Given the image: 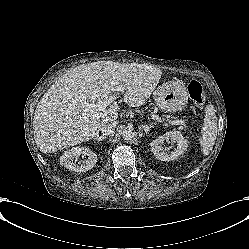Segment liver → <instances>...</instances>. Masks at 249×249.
Returning a JSON list of instances; mask_svg holds the SVG:
<instances>
[{
    "label": "liver",
    "mask_w": 249,
    "mask_h": 249,
    "mask_svg": "<svg viewBox=\"0 0 249 249\" xmlns=\"http://www.w3.org/2000/svg\"><path fill=\"white\" fill-rule=\"evenodd\" d=\"M159 79L160 72L146 73L113 62L89 63L69 71L47 90L36 107V145L43 153H52L99 138V126L118 118L120 105L115 100L123 96L128 106L140 107ZM86 104L99 108L86 111Z\"/></svg>",
    "instance_id": "liver-1"
}]
</instances>
